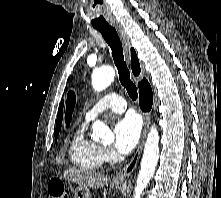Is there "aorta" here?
I'll use <instances>...</instances> for the list:
<instances>
[{
  "label": "aorta",
  "instance_id": "obj_1",
  "mask_svg": "<svg viewBox=\"0 0 221 198\" xmlns=\"http://www.w3.org/2000/svg\"><path fill=\"white\" fill-rule=\"evenodd\" d=\"M115 78V70L112 67L95 69L92 74V86L97 92L106 89ZM92 137L94 139L109 140L113 134L109 127L97 120L92 125ZM159 159V133L156 127H152L147 135L140 171L134 190V198H141V194L147 187Z\"/></svg>",
  "mask_w": 221,
  "mask_h": 198
}]
</instances>
